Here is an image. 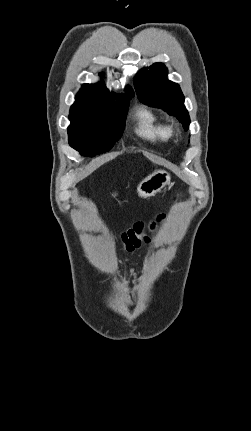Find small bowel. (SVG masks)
<instances>
[{"label":"small bowel","mask_w":251,"mask_h":431,"mask_svg":"<svg viewBox=\"0 0 251 431\" xmlns=\"http://www.w3.org/2000/svg\"><path fill=\"white\" fill-rule=\"evenodd\" d=\"M129 275L132 277L133 279V284L137 285L138 283V276L136 274V272L133 269L129 270ZM124 293H125V301L127 303V305L129 307H134L135 303H134V297L136 294V289L133 288L132 292L129 291V284L128 281L125 279L124 280Z\"/></svg>","instance_id":"obj_1"}]
</instances>
